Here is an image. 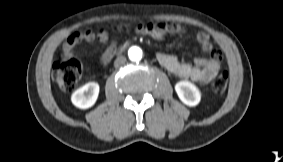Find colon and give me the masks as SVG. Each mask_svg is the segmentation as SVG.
I'll return each instance as SVG.
<instances>
[{
    "mask_svg": "<svg viewBox=\"0 0 283 162\" xmlns=\"http://www.w3.org/2000/svg\"><path fill=\"white\" fill-rule=\"evenodd\" d=\"M82 74V64L74 59H67L57 62L53 69V78L59 86L65 90L73 89ZM228 85V73L220 72L212 82V88L215 93L222 94L226 91Z\"/></svg>",
    "mask_w": 283,
    "mask_h": 162,
    "instance_id": "5ec220e1",
    "label": "colon"
}]
</instances>
